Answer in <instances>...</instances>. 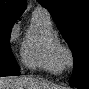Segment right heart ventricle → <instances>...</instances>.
Segmentation results:
<instances>
[{
	"label": "right heart ventricle",
	"instance_id": "right-heart-ventricle-1",
	"mask_svg": "<svg viewBox=\"0 0 89 89\" xmlns=\"http://www.w3.org/2000/svg\"><path fill=\"white\" fill-rule=\"evenodd\" d=\"M59 45V35L49 13L35 11L21 49L25 66L60 74L64 66L59 56Z\"/></svg>",
	"mask_w": 89,
	"mask_h": 89
}]
</instances>
